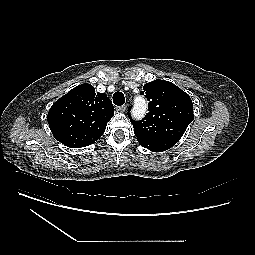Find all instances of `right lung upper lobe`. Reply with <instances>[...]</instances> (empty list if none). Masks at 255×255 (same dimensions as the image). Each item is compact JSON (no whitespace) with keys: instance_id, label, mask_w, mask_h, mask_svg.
I'll return each instance as SVG.
<instances>
[{"instance_id":"cb5924a9","label":"right lung upper lobe","mask_w":255,"mask_h":255,"mask_svg":"<svg viewBox=\"0 0 255 255\" xmlns=\"http://www.w3.org/2000/svg\"><path fill=\"white\" fill-rule=\"evenodd\" d=\"M114 106L104 93H95L90 84H81L58 99L50 108V129L62 144L70 148L86 147L102 136Z\"/></svg>"}]
</instances>
